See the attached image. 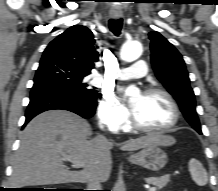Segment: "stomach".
<instances>
[{
    "label": "stomach",
    "mask_w": 218,
    "mask_h": 191,
    "mask_svg": "<svg viewBox=\"0 0 218 191\" xmlns=\"http://www.w3.org/2000/svg\"><path fill=\"white\" fill-rule=\"evenodd\" d=\"M129 161L145 169L157 172L167 164L168 157L159 145L153 144L131 155Z\"/></svg>",
    "instance_id": "obj_1"
}]
</instances>
